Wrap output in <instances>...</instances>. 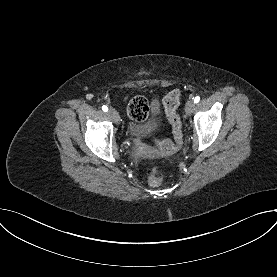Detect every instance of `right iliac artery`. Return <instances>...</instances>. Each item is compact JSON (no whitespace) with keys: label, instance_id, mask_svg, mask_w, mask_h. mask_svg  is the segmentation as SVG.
Listing matches in <instances>:
<instances>
[{"label":"right iliac artery","instance_id":"82829eb1","mask_svg":"<svg viewBox=\"0 0 277 277\" xmlns=\"http://www.w3.org/2000/svg\"><path fill=\"white\" fill-rule=\"evenodd\" d=\"M102 110L107 112L108 111V107L104 105V106H102Z\"/></svg>","mask_w":277,"mask_h":277}]
</instances>
